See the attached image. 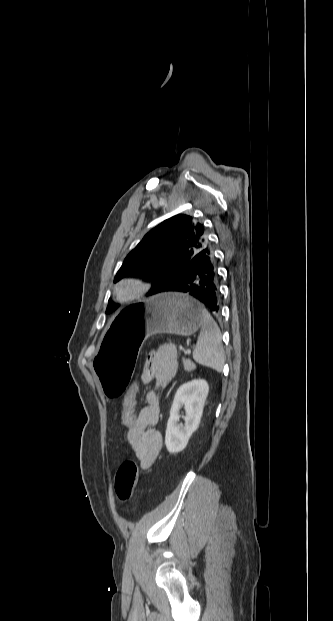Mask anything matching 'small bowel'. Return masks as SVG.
Wrapping results in <instances>:
<instances>
[{
	"label": "small bowel",
	"mask_w": 333,
	"mask_h": 621,
	"mask_svg": "<svg viewBox=\"0 0 333 621\" xmlns=\"http://www.w3.org/2000/svg\"><path fill=\"white\" fill-rule=\"evenodd\" d=\"M178 370L176 351L171 345H164L152 351L143 371L145 383L155 382L157 388L167 386ZM160 407L155 390L148 392L146 403L138 412L136 422L127 427V441L143 470L149 469L158 457L162 447V435L155 429L159 421Z\"/></svg>",
	"instance_id": "c3829d8e"
}]
</instances>
